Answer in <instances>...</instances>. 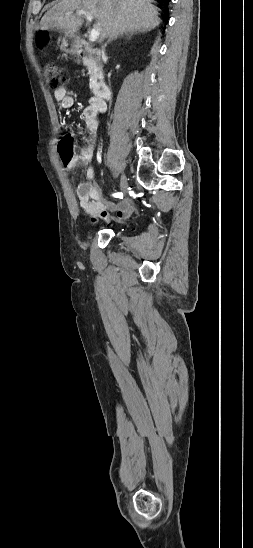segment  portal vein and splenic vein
Returning a JSON list of instances; mask_svg holds the SVG:
<instances>
[{"label":"portal vein and splenic vein","instance_id":"obj_1","mask_svg":"<svg viewBox=\"0 0 253 548\" xmlns=\"http://www.w3.org/2000/svg\"><path fill=\"white\" fill-rule=\"evenodd\" d=\"M76 14L79 15V16H85L87 21L91 22L93 19H94V16L88 12V11H85V10H77L76 11ZM99 28L97 25H94V27L92 28L90 34H89V41L90 42H95L98 37H99Z\"/></svg>","mask_w":253,"mask_h":548}]
</instances>
